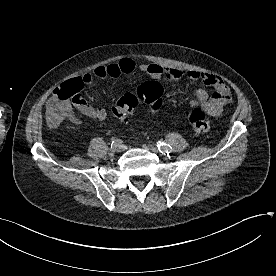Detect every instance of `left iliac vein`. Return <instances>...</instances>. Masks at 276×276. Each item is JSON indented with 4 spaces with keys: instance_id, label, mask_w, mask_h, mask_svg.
<instances>
[{
    "instance_id": "1",
    "label": "left iliac vein",
    "mask_w": 276,
    "mask_h": 276,
    "mask_svg": "<svg viewBox=\"0 0 276 276\" xmlns=\"http://www.w3.org/2000/svg\"><path fill=\"white\" fill-rule=\"evenodd\" d=\"M153 152H155V153H159V150L156 148V147H151L150 148ZM162 153V152H161ZM162 154H164V153H162ZM165 155H167V154H165ZM169 155V154H168Z\"/></svg>"
}]
</instances>
